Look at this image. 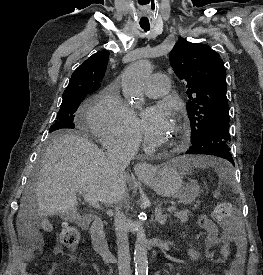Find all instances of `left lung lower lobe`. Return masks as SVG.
I'll use <instances>...</instances> for the list:
<instances>
[{
	"label": "left lung lower lobe",
	"mask_w": 263,
	"mask_h": 275,
	"mask_svg": "<svg viewBox=\"0 0 263 275\" xmlns=\"http://www.w3.org/2000/svg\"><path fill=\"white\" fill-rule=\"evenodd\" d=\"M229 121L218 122L192 142L186 154H206L224 158L234 165L230 152Z\"/></svg>",
	"instance_id": "0a47b994"
}]
</instances>
